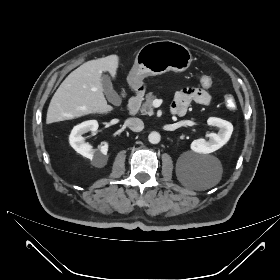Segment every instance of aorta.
Masks as SVG:
<instances>
[{
    "label": "aorta",
    "mask_w": 280,
    "mask_h": 280,
    "mask_svg": "<svg viewBox=\"0 0 280 280\" xmlns=\"http://www.w3.org/2000/svg\"><path fill=\"white\" fill-rule=\"evenodd\" d=\"M161 136L158 132L153 131L148 135V140L152 144H157L160 142Z\"/></svg>",
    "instance_id": "762f6f07"
}]
</instances>
